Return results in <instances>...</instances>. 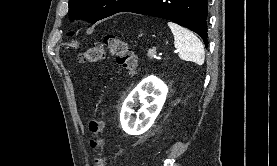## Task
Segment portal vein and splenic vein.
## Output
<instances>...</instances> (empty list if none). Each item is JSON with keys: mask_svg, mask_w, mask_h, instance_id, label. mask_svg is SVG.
<instances>
[{"mask_svg": "<svg viewBox=\"0 0 277 166\" xmlns=\"http://www.w3.org/2000/svg\"><path fill=\"white\" fill-rule=\"evenodd\" d=\"M177 52V51H176ZM151 58L158 59L159 57L156 55V53H151L150 55Z\"/></svg>", "mask_w": 277, "mask_h": 166, "instance_id": "18ae733b", "label": "portal vein and splenic vein"}]
</instances>
